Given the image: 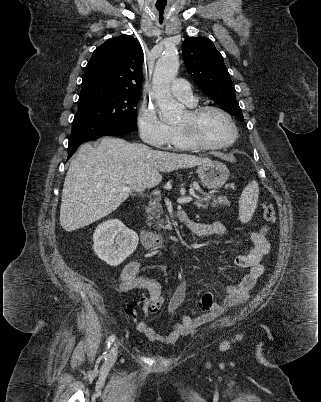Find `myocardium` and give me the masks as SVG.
<instances>
[{
	"mask_svg": "<svg viewBox=\"0 0 321 402\" xmlns=\"http://www.w3.org/2000/svg\"><path fill=\"white\" fill-rule=\"evenodd\" d=\"M207 111H216L227 119L233 130V136L230 140L221 144H210L205 142L198 136L196 132L195 121ZM187 112L189 114L190 121L184 125H177V127L183 135L184 139L193 147L203 150H220L232 146L237 141L239 136L238 127L233 117L223 108L216 105H200L190 107Z\"/></svg>",
	"mask_w": 321,
	"mask_h": 402,
	"instance_id": "f54148a6",
	"label": "myocardium"
}]
</instances>
